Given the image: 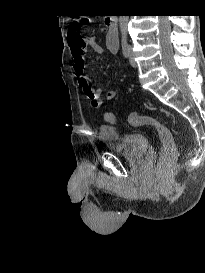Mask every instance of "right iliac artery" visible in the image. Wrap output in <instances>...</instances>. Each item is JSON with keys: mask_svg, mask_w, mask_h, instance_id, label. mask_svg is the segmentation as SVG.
Masks as SVG:
<instances>
[{"mask_svg": "<svg viewBox=\"0 0 205 273\" xmlns=\"http://www.w3.org/2000/svg\"><path fill=\"white\" fill-rule=\"evenodd\" d=\"M122 52L125 58L129 57V48L126 42L122 43Z\"/></svg>", "mask_w": 205, "mask_h": 273, "instance_id": "obj_1", "label": "right iliac artery"}]
</instances>
